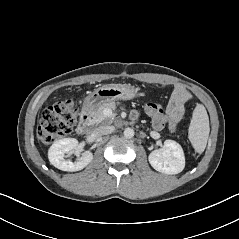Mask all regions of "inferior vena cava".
<instances>
[{"label":"inferior vena cava","mask_w":239,"mask_h":239,"mask_svg":"<svg viewBox=\"0 0 239 239\" xmlns=\"http://www.w3.org/2000/svg\"><path fill=\"white\" fill-rule=\"evenodd\" d=\"M114 130H115L114 126H110V125L100 126L95 130V135L96 136L107 135L114 132Z\"/></svg>","instance_id":"602c4592"}]
</instances>
